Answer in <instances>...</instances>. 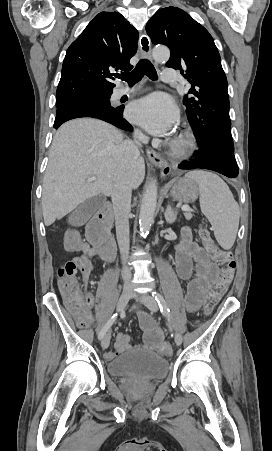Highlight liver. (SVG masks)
Segmentation results:
<instances>
[{"label":"liver","mask_w":272,"mask_h":451,"mask_svg":"<svg viewBox=\"0 0 272 451\" xmlns=\"http://www.w3.org/2000/svg\"><path fill=\"white\" fill-rule=\"evenodd\" d=\"M122 142L123 136L114 126L91 118L71 120L57 130L43 180L45 226L61 220L93 196H111L114 154ZM88 178L96 180L88 182ZM144 178V158H138L131 174L133 190Z\"/></svg>","instance_id":"obj_1"}]
</instances>
